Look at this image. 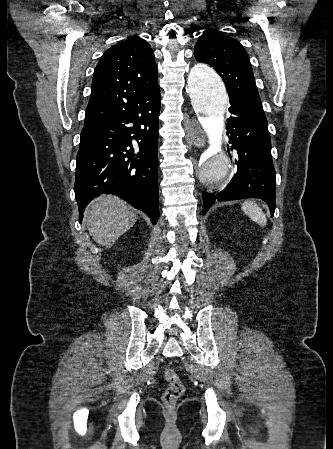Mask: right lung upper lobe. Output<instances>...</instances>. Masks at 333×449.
Returning a JSON list of instances; mask_svg holds the SVG:
<instances>
[{
  "label": "right lung upper lobe",
  "instance_id": "right-lung-upper-lobe-1",
  "mask_svg": "<svg viewBox=\"0 0 333 449\" xmlns=\"http://www.w3.org/2000/svg\"><path fill=\"white\" fill-rule=\"evenodd\" d=\"M151 46L132 36L110 47L95 68L85 125L116 117L159 93Z\"/></svg>",
  "mask_w": 333,
  "mask_h": 449
}]
</instances>
